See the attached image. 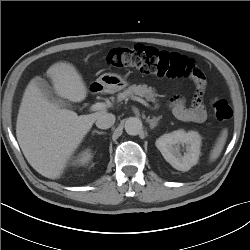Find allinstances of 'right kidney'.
Returning a JSON list of instances; mask_svg holds the SVG:
<instances>
[{
	"label": "right kidney",
	"mask_w": 250,
	"mask_h": 250,
	"mask_svg": "<svg viewBox=\"0 0 250 250\" xmlns=\"http://www.w3.org/2000/svg\"><path fill=\"white\" fill-rule=\"evenodd\" d=\"M90 159H91V154L89 153L88 150H86L79 155L75 163L80 165H85L90 161Z\"/></svg>",
	"instance_id": "1"
}]
</instances>
